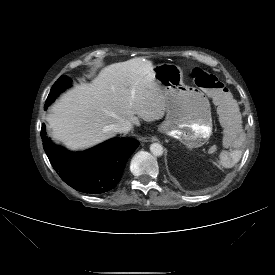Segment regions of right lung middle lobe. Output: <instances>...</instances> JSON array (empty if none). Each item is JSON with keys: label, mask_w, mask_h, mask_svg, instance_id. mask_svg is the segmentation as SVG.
<instances>
[{"label": "right lung middle lobe", "mask_w": 275, "mask_h": 275, "mask_svg": "<svg viewBox=\"0 0 275 275\" xmlns=\"http://www.w3.org/2000/svg\"><path fill=\"white\" fill-rule=\"evenodd\" d=\"M70 86L71 80L67 76L62 75L52 86L51 91L45 102L44 109L46 110L47 107L56 99V97Z\"/></svg>", "instance_id": "obj_1"}]
</instances>
